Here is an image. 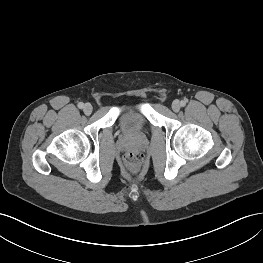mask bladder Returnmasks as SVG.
<instances>
[{"label":"bladder","mask_w":263,"mask_h":263,"mask_svg":"<svg viewBox=\"0 0 263 263\" xmlns=\"http://www.w3.org/2000/svg\"><path fill=\"white\" fill-rule=\"evenodd\" d=\"M149 122L140 109L122 111L119 116V128L128 136H137L147 132Z\"/></svg>","instance_id":"31cf9c89"}]
</instances>
